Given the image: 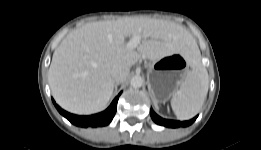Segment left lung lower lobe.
<instances>
[{
  "label": "left lung lower lobe",
  "instance_id": "obj_1",
  "mask_svg": "<svg viewBox=\"0 0 261 150\" xmlns=\"http://www.w3.org/2000/svg\"><path fill=\"white\" fill-rule=\"evenodd\" d=\"M150 114H151V118L153 119V121L155 123H157L159 125H162V126H166V127H172V128L189 126L197 118V116H196V117H194L193 119H191L189 121L180 122V121L163 119V118L159 117L152 109L150 111Z\"/></svg>",
  "mask_w": 261,
  "mask_h": 150
}]
</instances>
